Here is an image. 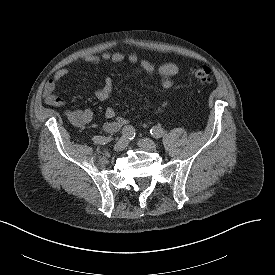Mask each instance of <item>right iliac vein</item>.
Returning <instances> with one entry per match:
<instances>
[{"mask_svg":"<svg viewBox=\"0 0 275 275\" xmlns=\"http://www.w3.org/2000/svg\"><path fill=\"white\" fill-rule=\"evenodd\" d=\"M128 145V140L125 137H121L114 145L115 151H122Z\"/></svg>","mask_w":275,"mask_h":275,"instance_id":"right-iliac-vein-1","label":"right iliac vein"}]
</instances>
